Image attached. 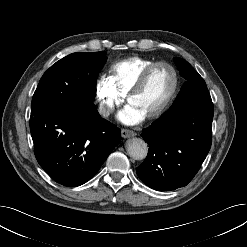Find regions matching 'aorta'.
Masks as SVG:
<instances>
[{
	"label": "aorta",
	"mask_w": 247,
	"mask_h": 247,
	"mask_svg": "<svg viewBox=\"0 0 247 247\" xmlns=\"http://www.w3.org/2000/svg\"><path fill=\"white\" fill-rule=\"evenodd\" d=\"M126 150L130 157L135 160H142L147 156V143L141 138L129 139L126 143Z\"/></svg>",
	"instance_id": "obj_1"
}]
</instances>
